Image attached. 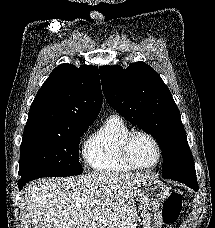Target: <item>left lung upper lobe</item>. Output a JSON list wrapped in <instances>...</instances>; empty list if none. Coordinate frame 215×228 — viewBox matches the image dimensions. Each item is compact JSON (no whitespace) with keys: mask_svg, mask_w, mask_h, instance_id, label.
Returning <instances> with one entry per match:
<instances>
[{"mask_svg":"<svg viewBox=\"0 0 215 228\" xmlns=\"http://www.w3.org/2000/svg\"><path fill=\"white\" fill-rule=\"evenodd\" d=\"M107 102L125 119L151 134L162 150V175L194 171L180 112L162 78L144 62L99 68Z\"/></svg>","mask_w":215,"mask_h":228,"instance_id":"5c2ea615","label":"left lung upper lobe"}]
</instances>
